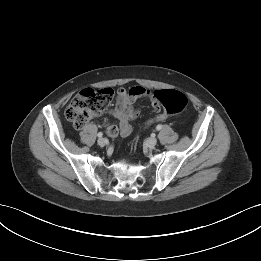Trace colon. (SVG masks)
I'll use <instances>...</instances> for the list:
<instances>
[{
  "instance_id": "5ec220e1",
  "label": "colon",
  "mask_w": 261,
  "mask_h": 261,
  "mask_svg": "<svg viewBox=\"0 0 261 261\" xmlns=\"http://www.w3.org/2000/svg\"><path fill=\"white\" fill-rule=\"evenodd\" d=\"M114 92L110 88H87L78 93L65 110V118L77 129L82 128L92 117L104 110L113 98ZM159 107L163 112L155 120L163 121L174 113L182 111L187 103V97L176 90H160L155 92ZM106 136L117 138L120 133L118 124L106 127Z\"/></svg>"
}]
</instances>
